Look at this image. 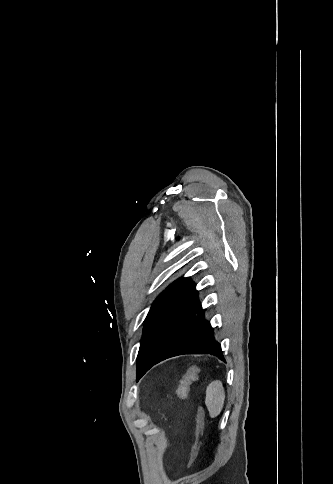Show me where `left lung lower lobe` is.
Returning <instances> with one entry per match:
<instances>
[{"label": "left lung lower lobe", "instance_id": "0a47b994", "mask_svg": "<svg viewBox=\"0 0 333 484\" xmlns=\"http://www.w3.org/2000/svg\"><path fill=\"white\" fill-rule=\"evenodd\" d=\"M182 354H211L225 361L189 278L169 285L147 315L137 358V380L156 363Z\"/></svg>", "mask_w": 333, "mask_h": 484}]
</instances>
